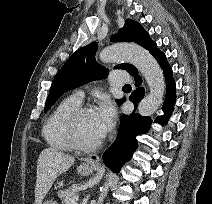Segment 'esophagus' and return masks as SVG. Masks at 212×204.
<instances>
[{"label":"esophagus","mask_w":212,"mask_h":204,"mask_svg":"<svg viewBox=\"0 0 212 204\" xmlns=\"http://www.w3.org/2000/svg\"><path fill=\"white\" fill-rule=\"evenodd\" d=\"M99 156L98 155H92L89 160L87 161L88 164H97L99 162Z\"/></svg>","instance_id":"34e87169"}]
</instances>
